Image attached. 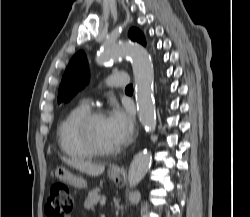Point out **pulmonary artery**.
Returning <instances> with one entry per match:
<instances>
[{
  "label": "pulmonary artery",
  "mask_w": 250,
  "mask_h": 217,
  "mask_svg": "<svg viewBox=\"0 0 250 217\" xmlns=\"http://www.w3.org/2000/svg\"><path fill=\"white\" fill-rule=\"evenodd\" d=\"M128 82L129 79L125 73H112L107 79L108 86L113 88H123L127 86Z\"/></svg>",
  "instance_id": "1"
}]
</instances>
